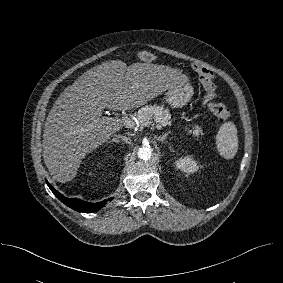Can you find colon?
Instances as JSON below:
<instances>
[{"mask_svg": "<svg viewBox=\"0 0 283 283\" xmlns=\"http://www.w3.org/2000/svg\"><path fill=\"white\" fill-rule=\"evenodd\" d=\"M137 56L139 59L147 62L154 60V55L149 51H139L137 53ZM208 107L209 110L219 119L220 122H226L229 120L230 112L225 105L221 103H210Z\"/></svg>", "mask_w": 283, "mask_h": 283, "instance_id": "colon-1", "label": "colon"}]
</instances>
